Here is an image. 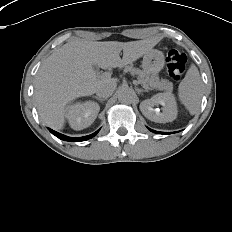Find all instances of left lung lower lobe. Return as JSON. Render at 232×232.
Here are the masks:
<instances>
[{
	"label": "left lung lower lobe",
	"mask_w": 232,
	"mask_h": 232,
	"mask_svg": "<svg viewBox=\"0 0 232 232\" xmlns=\"http://www.w3.org/2000/svg\"><path fill=\"white\" fill-rule=\"evenodd\" d=\"M151 130V129H150ZM151 131H153V132H155V133H160V134H168L167 132H158V131H154V130H151Z\"/></svg>",
	"instance_id": "0a47b994"
}]
</instances>
